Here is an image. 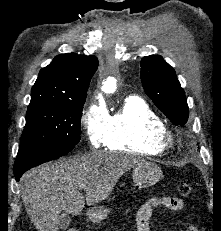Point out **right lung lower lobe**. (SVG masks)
<instances>
[{
    "instance_id": "98d812e1",
    "label": "right lung lower lobe",
    "mask_w": 221,
    "mask_h": 231,
    "mask_svg": "<svg viewBox=\"0 0 221 231\" xmlns=\"http://www.w3.org/2000/svg\"><path fill=\"white\" fill-rule=\"evenodd\" d=\"M72 149H64V150H56V151H45L42 153H38L36 155L31 156L30 158L26 159L20 164L14 165V175L16 177V180L19 181L22 174L42 163L57 159L61 156L66 155L69 153Z\"/></svg>"
}]
</instances>
